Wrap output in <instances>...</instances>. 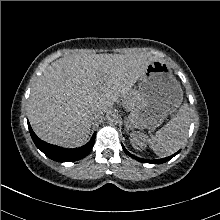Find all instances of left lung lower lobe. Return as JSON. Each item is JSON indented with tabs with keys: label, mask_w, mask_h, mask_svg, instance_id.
Listing matches in <instances>:
<instances>
[{
	"label": "left lung lower lobe",
	"mask_w": 220,
	"mask_h": 220,
	"mask_svg": "<svg viewBox=\"0 0 220 220\" xmlns=\"http://www.w3.org/2000/svg\"><path fill=\"white\" fill-rule=\"evenodd\" d=\"M123 146V145H122ZM123 150L125 151V153L127 155H129L130 157L138 160L139 162H143V163H153V164H160V163H164L168 160H170L171 158H173L175 155H177L180 151H178L177 153L173 154L172 156H169V157H166V158H163V159H158V160H146V159H141V158H138L134 155H132L131 153H129L123 146Z\"/></svg>",
	"instance_id": "0a47b994"
}]
</instances>
